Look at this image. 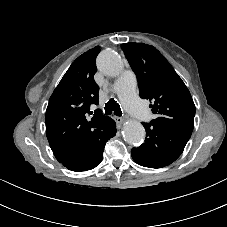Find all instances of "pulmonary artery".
Instances as JSON below:
<instances>
[{
	"label": "pulmonary artery",
	"mask_w": 227,
	"mask_h": 227,
	"mask_svg": "<svg viewBox=\"0 0 227 227\" xmlns=\"http://www.w3.org/2000/svg\"><path fill=\"white\" fill-rule=\"evenodd\" d=\"M136 79L133 72L127 70L115 81L113 91L118 94L125 108L140 122H148L150 112L135 93Z\"/></svg>",
	"instance_id": "obj_1"
}]
</instances>
